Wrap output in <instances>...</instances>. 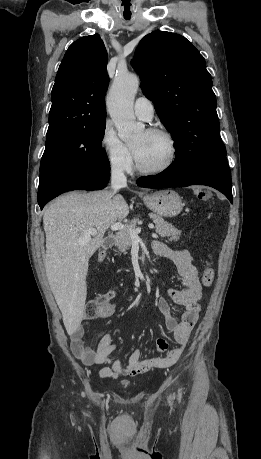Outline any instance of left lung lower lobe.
I'll use <instances>...</instances> for the list:
<instances>
[{"label":"left lung lower lobe","mask_w":261,"mask_h":459,"mask_svg":"<svg viewBox=\"0 0 261 459\" xmlns=\"http://www.w3.org/2000/svg\"><path fill=\"white\" fill-rule=\"evenodd\" d=\"M137 184L144 188L207 185L222 192L232 203V182L226 156L206 160L181 173L171 166L156 176L143 177Z\"/></svg>","instance_id":"0a47b994"}]
</instances>
